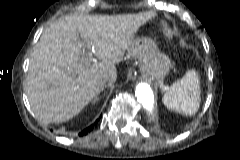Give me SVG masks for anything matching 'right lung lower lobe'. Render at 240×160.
Instances as JSON below:
<instances>
[{
    "label": "right lung lower lobe",
    "mask_w": 240,
    "mask_h": 160,
    "mask_svg": "<svg viewBox=\"0 0 240 160\" xmlns=\"http://www.w3.org/2000/svg\"><path fill=\"white\" fill-rule=\"evenodd\" d=\"M95 124H97V121L94 123V125H95ZM94 125H91L90 127L86 128V129L83 130L81 133H79V135H80V136L86 135L87 133H89V132L93 129Z\"/></svg>",
    "instance_id": "right-lung-lower-lobe-1"
}]
</instances>
